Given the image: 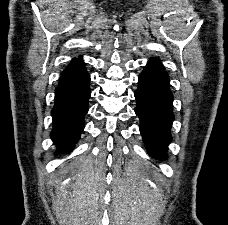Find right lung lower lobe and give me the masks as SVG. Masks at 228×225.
I'll return each mask as SVG.
<instances>
[{"label": "right lung lower lobe", "mask_w": 228, "mask_h": 225, "mask_svg": "<svg viewBox=\"0 0 228 225\" xmlns=\"http://www.w3.org/2000/svg\"><path fill=\"white\" fill-rule=\"evenodd\" d=\"M90 76L80 57L74 58L62 72L55 90L51 138L59 152H69L79 139L88 111Z\"/></svg>", "instance_id": "98d812e1"}]
</instances>
